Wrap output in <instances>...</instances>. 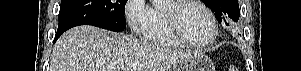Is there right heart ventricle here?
I'll use <instances>...</instances> for the list:
<instances>
[{"mask_svg":"<svg viewBox=\"0 0 301 71\" xmlns=\"http://www.w3.org/2000/svg\"><path fill=\"white\" fill-rule=\"evenodd\" d=\"M143 39L151 44L182 48V44L171 32L164 11L160 7H155L151 11L150 20L143 32Z\"/></svg>","mask_w":301,"mask_h":71,"instance_id":"right-heart-ventricle-1","label":"right heart ventricle"}]
</instances>
